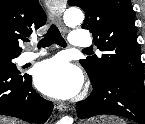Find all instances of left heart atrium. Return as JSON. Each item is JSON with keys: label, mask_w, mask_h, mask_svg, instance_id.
Listing matches in <instances>:
<instances>
[{"label": "left heart atrium", "mask_w": 145, "mask_h": 124, "mask_svg": "<svg viewBox=\"0 0 145 124\" xmlns=\"http://www.w3.org/2000/svg\"><path fill=\"white\" fill-rule=\"evenodd\" d=\"M37 88L59 99L76 95L82 86V75L66 58L56 56L37 65L34 70Z\"/></svg>", "instance_id": "left-heart-atrium-1"}]
</instances>
